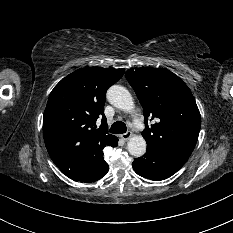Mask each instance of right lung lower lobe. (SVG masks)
<instances>
[{"label": "right lung lower lobe", "instance_id": "obj_1", "mask_svg": "<svg viewBox=\"0 0 233 233\" xmlns=\"http://www.w3.org/2000/svg\"><path fill=\"white\" fill-rule=\"evenodd\" d=\"M118 145V140L113 147ZM63 174L74 181L94 182L101 179L108 172V164L105 162L103 155L100 160L95 163H80L68 165L59 168Z\"/></svg>", "mask_w": 233, "mask_h": 233}]
</instances>
